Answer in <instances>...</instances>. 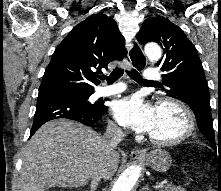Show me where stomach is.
Masks as SVG:
<instances>
[{
	"label": "stomach",
	"instance_id": "1",
	"mask_svg": "<svg viewBox=\"0 0 221 191\" xmlns=\"http://www.w3.org/2000/svg\"><path fill=\"white\" fill-rule=\"evenodd\" d=\"M138 160L145 162L157 172H166L172 164L170 154L167 151L160 148L151 151L145 157L139 158Z\"/></svg>",
	"mask_w": 221,
	"mask_h": 191
}]
</instances>
